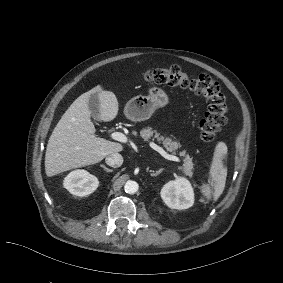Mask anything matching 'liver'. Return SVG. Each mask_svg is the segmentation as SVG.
<instances>
[{"label": "liver", "instance_id": "liver-1", "mask_svg": "<svg viewBox=\"0 0 283 283\" xmlns=\"http://www.w3.org/2000/svg\"><path fill=\"white\" fill-rule=\"evenodd\" d=\"M95 90L76 98L56 124L45 154V171L48 176L100 162L107 155L121 150L120 144L94 136L96 130L90 120L87 101ZM100 101L101 119L112 120L118 107L115 96L110 92H102Z\"/></svg>", "mask_w": 283, "mask_h": 283}]
</instances>
